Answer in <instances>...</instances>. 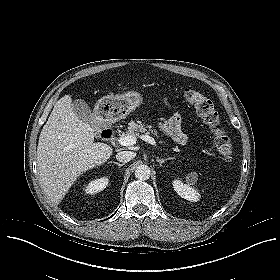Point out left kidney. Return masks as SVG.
<instances>
[{
    "label": "left kidney",
    "instance_id": "obj_1",
    "mask_svg": "<svg viewBox=\"0 0 280 280\" xmlns=\"http://www.w3.org/2000/svg\"><path fill=\"white\" fill-rule=\"evenodd\" d=\"M172 184L174 190L182 198L191 202H196L199 200V192L195 188H193L189 183H183L180 179H175Z\"/></svg>",
    "mask_w": 280,
    "mask_h": 280
}]
</instances>
